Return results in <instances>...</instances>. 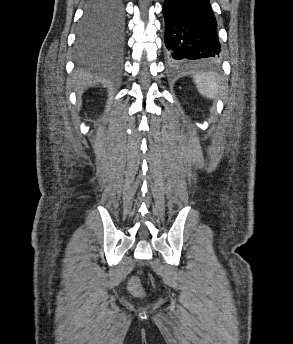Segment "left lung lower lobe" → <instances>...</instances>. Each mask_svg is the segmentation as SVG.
Segmentation results:
<instances>
[{
    "instance_id": "obj_1",
    "label": "left lung lower lobe",
    "mask_w": 293,
    "mask_h": 344,
    "mask_svg": "<svg viewBox=\"0 0 293 344\" xmlns=\"http://www.w3.org/2000/svg\"><path fill=\"white\" fill-rule=\"evenodd\" d=\"M165 45L172 64L216 60L217 23L209 0H165Z\"/></svg>"
}]
</instances>
